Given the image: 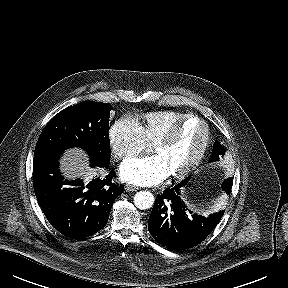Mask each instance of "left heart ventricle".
Listing matches in <instances>:
<instances>
[{"label":"left heart ventricle","mask_w":288,"mask_h":288,"mask_svg":"<svg viewBox=\"0 0 288 288\" xmlns=\"http://www.w3.org/2000/svg\"><path fill=\"white\" fill-rule=\"evenodd\" d=\"M204 137V125L197 120H191L178 131L170 144L152 147L151 152L164 160L172 175L181 172L196 158Z\"/></svg>","instance_id":"obj_1"}]
</instances>
